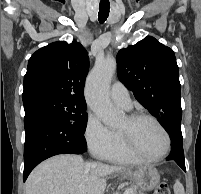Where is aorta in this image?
<instances>
[{"label": "aorta", "instance_id": "762f6f07", "mask_svg": "<svg viewBox=\"0 0 201 194\" xmlns=\"http://www.w3.org/2000/svg\"><path fill=\"white\" fill-rule=\"evenodd\" d=\"M116 67L115 58L98 59L86 82V99L89 107L109 127H116L123 115L113 107L109 98V86Z\"/></svg>", "mask_w": 201, "mask_h": 194}]
</instances>
